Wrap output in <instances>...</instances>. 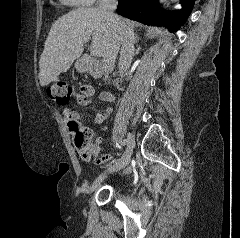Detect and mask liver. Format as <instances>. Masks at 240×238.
I'll return each mask as SVG.
<instances>
[{"instance_id":"6515ba94","label":"liver","mask_w":240,"mask_h":238,"mask_svg":"<svg viewBox=\"0 0 240 238\" xmlns=\"http://www.w3.org/2000/svg\"><path fill=\"white\" fill-rule=\"evenodd\" d=\"M124 21L132 26L130 21ZM120 33L119 27L97 8H78L60 17L53 23L40 57V85L57 82L59 75L67 72L81 56L85 43L91 38L90 50L114 62L121 45Z\"/></svg>"}]
</instances>
